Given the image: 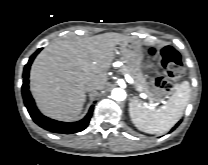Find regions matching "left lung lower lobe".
<instances>
[{"label":"left lung lower lobe","mask_w":208,"mask_h":165,"mask_svg":"<svg viewBox=\"0 0 208 165\" xmlns=\"http://www.w3.org/2000/svg\"><path fill=\"white\" fill-rule=\"evenodd\" d=\"M180 122H181V121H179V122L175 125V127L172 128V131L180 124Z\"/></svg>","instance_id":"0a47b994"}]
</instances>
